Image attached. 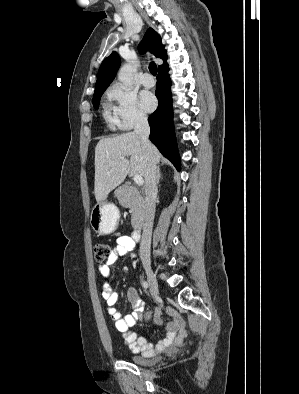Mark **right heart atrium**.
<instances>
[{"instance_id": "obj_1", "label": "right heart atrium", "mask_w": 299, "mask_h": 394, "mask_svg": "<svg viewBox=\"0 0 299 394\" xmlns=\"http://www.w3.org/2000/svg\"><path fill=\"white\" fill-rule=\"evenodd\" d=\"M109 108L115 125L121 130H130L146 122V115L140 109L136 95L120 84L110 87L107 93Z\"/></svg>"}]
</instances>
